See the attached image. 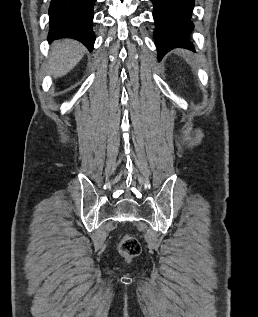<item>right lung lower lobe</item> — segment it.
Listing matches in <instances>:
<instances>
[{"label": "right lung lower lobe", "mask_w": 258, "mask_h": 317, "mask_svg": "<svg viewBox=\"0 0 258 317\" xmlns=\"http://www.w3.org/2000/svg\"><path fill=\"white\" fill-rule=\"evenodd\" d=\"M95 2L96 0H51L49 42L61 38H72L92 51L95 42L92 30Z\"/></svg>", "instance_id": "1"}]
</instances>
